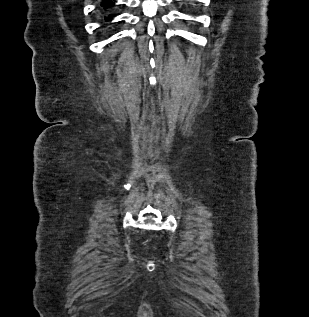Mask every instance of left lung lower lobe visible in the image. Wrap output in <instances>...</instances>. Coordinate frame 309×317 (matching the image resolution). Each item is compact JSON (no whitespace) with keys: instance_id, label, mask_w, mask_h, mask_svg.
<instances>
[{"instance_id":"obj_1","label":"left lung lower lobe","mask_w":309,"mask_h":317,"mask_svg":"<svg viewBox=\"0 0 309 317\" xmlns=\"http://www.w3.org/2000/svg\"><path fill=\"white\" fill-rule=\"evenodd\" d=\"M186 4L189 5L190 3H192L190 0H185Z\"/></svg>"}]
</instances>
